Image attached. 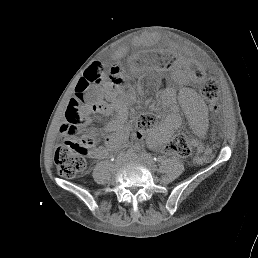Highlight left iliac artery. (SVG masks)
Segmentation results:
<instances>
[{
    "label": "left iliac artery",
    "mask_w": 258,
    "mask_h": 258,
    "mask_svg": "<svg viewBox=\"0 0 258 258\" xmlns=\"http://www.w3.org/2000/svg\"><path fill=\"white\" fill-rule=\"evenodd\" d=\"M142 156H144V159L148 160L149 161V158L147 154H143ZM159 159L161 158H154L155 161H159Z\"/></svg>",
    "instance_id": "1"
}]
</instances>
